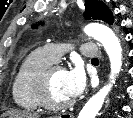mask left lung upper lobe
I'll use <instances>...</instances> for the list:
<instances>
[{
  "label": "left lung upper lobe",
  "mask_w": 133,
  "mask_h": 118,
  "mask_svg": "<svg viewBox=\"0 0 133 118\" xmlns=\"http://www.w3.org/2000/svg\"><path fill=\"white\" fill-rule=\"evenodd\" d=\"M85 19L102 20L110 25L113 23V15L109 8L101 1L86 0Z\"/></svg>",
  "instance_id": "5c2ea615"
}]
</instances>
